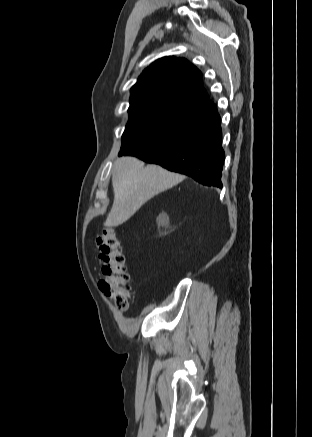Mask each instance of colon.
<instances>
[{"label":"colon","mask_w":312,"mask_h":437,"mask_svg":"<svg viewBox=\"0 0 312 437\" xmlns=\"http://www.w3.org/2000/svg\"><path fill=\"white\" fill-rule=\"evenodd\" d=\"M96 244L103 264L99 286L119 309L125 310L129 306L130 286L120 239L113 229L108 228L97 237Z\"/></svg>","instance_id":"colon-1"}]
</instances>
